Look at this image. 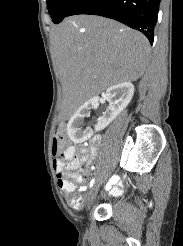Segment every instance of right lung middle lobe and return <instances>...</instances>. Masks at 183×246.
Segmentation results:
<instances>
[{
    "label": "right lung middle lobe",
    "mask_w": 183,
    "mask_h": 246,
    "mask_svg": "<svg viewBox=\"0 0 183 246\" xmlns=\"http://www.w3.org/2000/svg\"><path fill=\"white\" fill-rule=\"evenodd\" d=\"M78 0H47L48 12L54 23L58 24L66 17Z\"/></svg>",
    "instance_id": "right-lung-middle-lobe-1"
}]
</instances>
